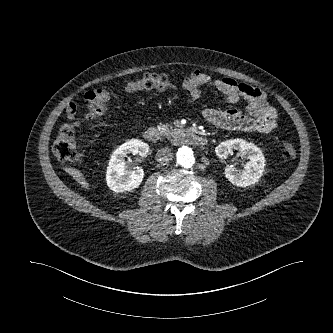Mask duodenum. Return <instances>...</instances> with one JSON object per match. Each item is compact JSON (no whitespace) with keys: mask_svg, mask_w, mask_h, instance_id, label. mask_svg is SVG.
<instances>
[{"mask_svg":"<svg viewBox=\"0 0 333 333\" xmlns=\"http://www.w3.org/2000/svg\"><path fill=\"white\" fill-rule=\"evenodd\" d=\"M158 137H159V132L154 127H150L144 133V138L148 141H155ZM174 140L194 146H205L207 144V138L205 136L191 132L189 130L178 131L174 136Z\"/></svg>","mask_w":333,"mask_h":333,"instance_id":"1","label":"duodenum"}]
</instances>
